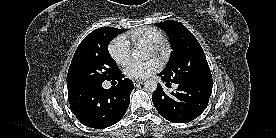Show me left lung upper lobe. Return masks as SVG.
Returning a JSON list of instances; mask_svg holds the SVG:
<instances>
[{
    "mask_svg": "<svg viewBox=\"0 0 276 138\" xmlns=\"http://www.w3.org/2000/svg\"><path fill=\"white\" fill-rule=\"evenodd\" d=\"M169 36L173 49L171 60L161 72L173 83H212L204 51L194 35L180 22L168 20L155 24Z\"/></svg>",
    "mask_w": 276,
    "mask_h": 138,
    "instance_id": "obj_1",
    "label": "left lung upper lobe"
}]
</instances>
